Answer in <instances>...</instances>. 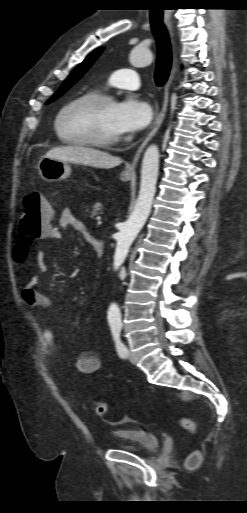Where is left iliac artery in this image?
Wrapping results in <instances>:
<instances>
[{
    "label": "left iliac artery",
    "instance_id": "1",
    "mask_svg": "<svg viewBox=\"0 0 247 513\" xmlns=\"http://www.w3.org/2000/svg\"><path fill=\"white\" fill-rule=\"evenodd\" d=\"M110 328H111L112 336H113V339L115 342L116 350H117L119 356L121 358H126L128 355V350L120 339L122 322L120 320L111 321Z\"/></svg>",
    "mask_w": 247,
    "mask_h": 513
}]
</instances>
